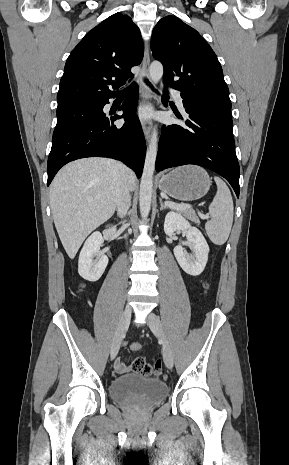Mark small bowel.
Segmentation results:
<instances>
[{
    "label": "small bowel",
    "instance_id": "small-bowel-1",
    "mask_svg": "<svg viewBox=\"0 0 289 465\" xmlns=\"http://www.w3.org/2000/svg\"><path fill=\"white\" fill-rule=\"evenodd\" d=\"M115 370L117 373L123 374L128 372L130 370V367L118 358L115 362Z\"/></svg>",
    "mask_w": 289,
    "mask_h": 465
}]
</instances>
